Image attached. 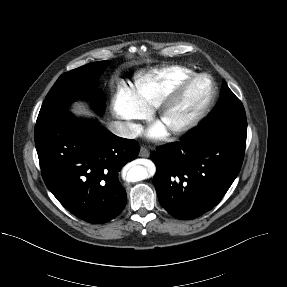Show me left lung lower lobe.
<instances>
[{
	"instance_id": "obj_1",
	"label": "left lung lower lobe",
	"mask_w": 287,
	"mask_h": 287,
	"mask_svg": "<svg viewBox=\"0 0 287 287\" xmlns=\"http://www.w3.org/2000/svg\"><path fill=\"white\" fill-rule=\"evenodd\" d=\"M245 141L194 128L180 142L158 147L150 156L157 167L153 182L161 206L184 220L211 210L241 169Z\"/></svg>"
}]
</instances>
